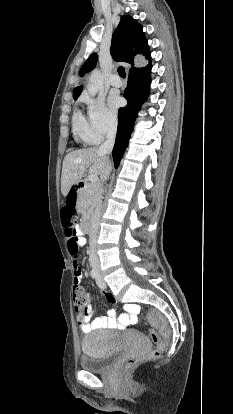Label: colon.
Instances as JSON below:
<instances>
[{"label":"colon","instance_id":"obj_1","mask_svg":"<svg viewBox=\"0 0 233 414\" xmlns=\"http://www.w3.org/2000/svg\"><path fill=\"white\" fill-rule=\"evenodd\" d=\"M76 219H77V213L75 209L72 212L64 211L63 224L65 227L66 235L68 237V250L70 254L74 250L79 251V246H78L77 238H76V230L74 227ZM74 261L75 260L73 258V262ZM73 305H74L75 312L78 317V321L81 323L87 321L85 320V316L83 315L82 312L85 306L88 305V298H87L85 289L82 286V284L79 290L73 289ZM146 318H147L148 323L154 327V329L150 331L149 336L152 339V341L157 344L156 349L152 350L149 353V356L152 358H156L160 355V353L165 348V343L162 341V337L169 335V329H168L165 319L155 309L148 310L146 314ZM140 359L141 358L139 356H132L128 358L124 365L125 369H131L135 367L139 363Z\"/></svg>","mask_w":233,"mask_h":414}]
</instances>
